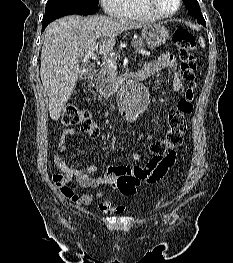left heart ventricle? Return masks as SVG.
I'll return each instance as SVG.
<instances>
[{
	"instance_id": "left-heart-ventricle-1",
	"label": "left heart ventricle",
	"mask_w": 233,
	"mask_h": 263,
	"mask_svg": "<svg viewBox=\"0 0 233 263\" xmlns=\"http://www.w3.org/2000/svg\"><path fill=\"white\" fill-rule=\"evenodd\" d=\"M154 3L164 13H170L176 7V0H154Z\"/></svg>"
}]
</instances>
